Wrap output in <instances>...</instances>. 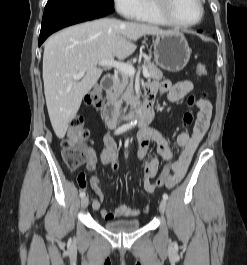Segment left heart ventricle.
I'll list each match as a JSON object with an SVG mask.
<instances>
[{"instance_id":"b2bd125f","label":"left heart ventricle","mask_w":247,"mask_h":265,"mask_svg":"<svg viewBox=\"0 0 247 265\" xmlns=\"http://www.w3.org/2000/svg\"><path fill=\"white\" fill-rule=\"evenodd\" d=\"M172 13L182 23H191L198 19L200 7L197 0H173Z\"/></svg>"}]
</instances>
